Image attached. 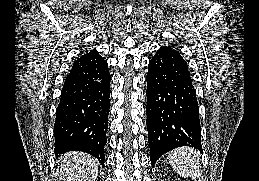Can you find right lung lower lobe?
<instances>
[{
    "label": "right lung lower lobe",
    "mask_w": 259,
    "mask_h": 181,
    "mask_svg": "<svg viewBox=\"0 0 259 181\" xmlns=\"http://www.w3.org/2000/svg\"><path fill=\"white\" fill-rule=\"evenodd\" d=\"M107 62L96 51L72 66L61 92L54 125L56 156L82 151L103 165L110 109Z\"/></svg>",
    "instance_id": "obj_1"
}]
</instances>
